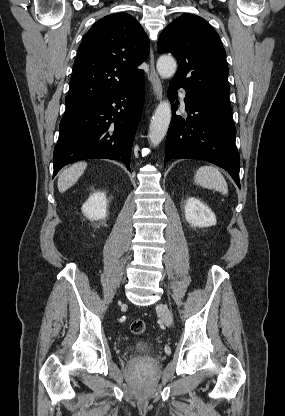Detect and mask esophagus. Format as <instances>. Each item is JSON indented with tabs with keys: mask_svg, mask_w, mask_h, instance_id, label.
<instances>
[{
	"mask_svg": "<svg viewBox=\"0 0 285 416\" xmlns=\"http://www.w3.org/2000/svg\"><path fill=\"white\" fill-rule=\"evenodd\" d=\"M149 82L152 87L153 94L156 98V101H161L163 96V89L161 85V80L158 76V73L155 70V62H154V56L151 54L150 56V74H149Z\"/></svg>",
	"mask_w": 285,
	"mask_h": 416,
	"instance_id": "esophagus-1",
	"label": "esophagus"
}]
</instances>
